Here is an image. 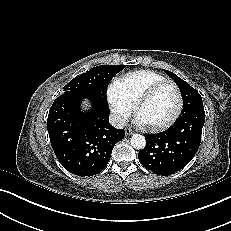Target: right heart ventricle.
I'll return each mask as SVG.
<instances>
[{"label":"right heart ventricle","instance_id":"right-heart-ventricle-1","mask_svg":"<svg viewBox=\"0 0 231 231\" xmlns=\"http://www.w3.org/2000/svg\"><path fill=\"white\" fill-rule=\"evenodd\" d=\"M163 79L148 70L130 74L118 84L120 96L127 106H132L153 84Z\"/></svg>","mask_w":231,"mask_h":231}]
</instances>
